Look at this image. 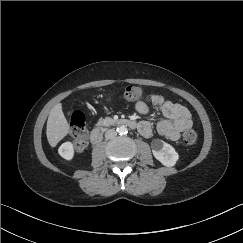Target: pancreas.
Wrapping results in <instances>:
<instances>
[{
    "label": "pancreas",
    "mask_w": 243,
    "mask_h": 243,
    "mask_svg": "<svg viewBox=\"0 0 243 243\" xmlns=\"http://www.w3.org/2000/svg\"><path fill=\"white\" fill-rule=\"evenodd\" d=\"M111 122H112V119H111V118H105V119L100 120V121L97 123V125H98V126H107V125H109Z\"/></svg>",
    "instance_id": "cf45deb5"
}]
</instances>
